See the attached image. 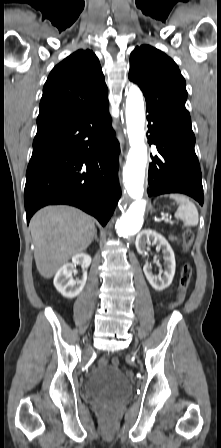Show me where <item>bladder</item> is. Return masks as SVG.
Here are the masks:
<instances>
[{
  "label": "bladder",
  "instance_id": "1",
  "mask_svg": "<svg viewBox=\"0 0 221 448\" xmlns=\"http://www.w3.org/2000/svg\"><path fill=\"white\" fill-rule=\"evenodd\" d=\"M84 391L93 399L118 401L131 394L132 385L121 369L101 366L87 376Z\"/></svg>",
  "mask_w": 221,
  "mask_h": 448
}]
</instances>
